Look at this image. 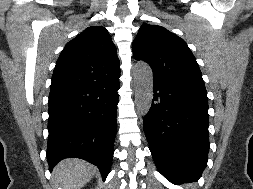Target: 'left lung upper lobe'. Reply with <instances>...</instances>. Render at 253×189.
Wrapping results in <instances>:
<instances>
[{
  "mask_svg": "<svg viewBox=\"0 0 253 189\" xmlns=\"http://www.w3.org/2000/svg\"><path fill=\"white\" fill-rule=\"evenodd\" d=\"M136 60L153 70V82L207 98L202 74L186 42L162 26L143 24L132 45Z\"/></svg>",
  "mask_w": 253,
  "mask_h": 189,
  "instance_id": "1",
  "label": "left lung upper lobe"
}]
</instances>
